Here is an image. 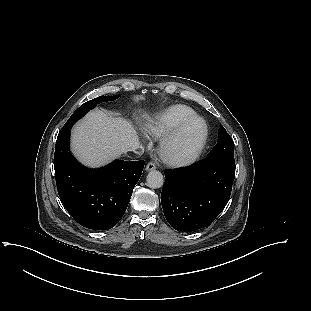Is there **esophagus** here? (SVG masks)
Returning <instances> with one entry per match:
<instances>
[{"mask_svg":"<svg viewBox=\"0 0 311 311\" xmlns=\"http://www.w3.org/2000/svg\"><path fill=\"white\" fill-rule=\"evenodd\" d=\"M154 169H156L155 163L149 162V163L146 165V171H152V170H154Z\"/></svg>","mask_w":311,"mask_h":311,"instance_id":"34e87169","label":"esophagus"}]
</instances>
